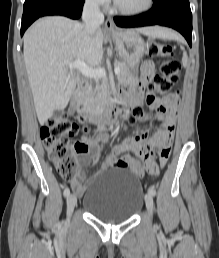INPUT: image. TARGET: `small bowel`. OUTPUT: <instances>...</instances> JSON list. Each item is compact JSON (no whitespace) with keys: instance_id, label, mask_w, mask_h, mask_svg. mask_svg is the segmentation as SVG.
Segmentation results:
<instances>
[{"instance_id":"small-bowel-1","label":"small bowel","mask_w":219,"mask_h":258,"mask_svg":"<svg viewBox=\"0 0 219 258\" xmlns=\"http://www.w3.org/2000/svg\"><path fill=\"white\" fill-rule=\"evenodd\" d=\"M154 73L155 64L151 61L144 62L142 65V82L151 79ZM122 94L130 107L140 104V96L136 90L125 89ZM148 105L156 111L157 118L162 122L161 130L150 140H144L141 135L130 136L121 144L113 146L103 165V170L108 167H120L129 168L133 173L142 177L146 174L162 175V170H158L156 163L164 166L170 156L179 97L176 93H172L163 99L151 98L148 100ZM101 128H103V125ZM144 135L146 136L145 132ZM107 140L108 136L101 132L95 139H83L78 143L82 148L79 152L81 167L77 176L71 181L76 194H83L88 184L85 182L84 170L88 165L98 162L102 145ZM154 146L156 149H153ZM134 155L141 157L144 163H141ZM146 167L148 171H146Z\"/></svg>"}]
</instances>
